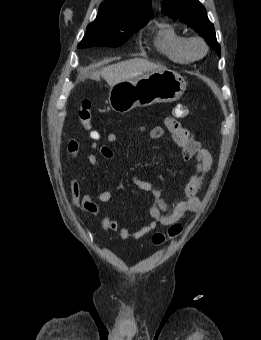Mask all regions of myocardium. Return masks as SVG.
I'll return each mask as SVG.
<instances>
[{
	"mask_svg": "<svg viewBox=\"0 0 261 340\" xmlns=\"http://www.w3.org/2000/svg\"><path fill=\"white\" fill-rule=\"evenodd\" d=\"M187 48L193 58H201L208 51V45L201 37L194 36L188 38Z\"/></svg>",
	"mask_w": 261,
	"mask_h": 340,
	"instance_id": "f54148a6",
	"label": "myocardium"
}]
</instances>
